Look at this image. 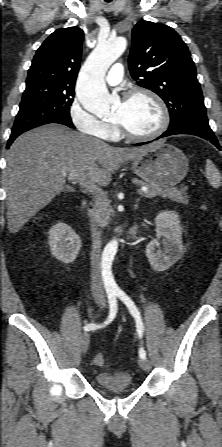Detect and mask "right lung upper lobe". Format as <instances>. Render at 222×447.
<instances>
[{
	"mask_svg": "<svg viewBox=\"0 0 222 447\" xmlns=\"http://www.w3.org/2000/svg\"><path fill=\"white\" fill-rule=\"evenodd\" d=\"M83 31L78 27L57 29L37 50L28 71L26 88L73 87L80 68Z\"/></svg>",
	"mask_w": 222,
	"mask_h": 447,
	"instance_id": "1",
	"label": "right lung upper lobe"
}]
</instances>
